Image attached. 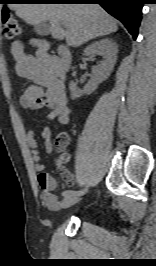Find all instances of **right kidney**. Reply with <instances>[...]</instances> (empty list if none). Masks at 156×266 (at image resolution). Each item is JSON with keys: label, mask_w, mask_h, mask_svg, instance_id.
Segmentation results:
<instances>
[{"label": "right kidney", "mask_w": 156, "mask_h": 266, "mask_svg": "<svg viewBox=\"0 0 156 266\" xmlns=\"http://www.w3.org/2000/svg\"><path fill=\"white\" fill-rule=\"evenodd\" d=\"M117 52L118 45L110 38L95 41L85 48L84 53L88 57L93 59L96 55H100L103 60L92 68L91 79L83 90H80L75 82H70L69 89L72 99L79 98L83 94H92L97 89L98 85L109 77L117 60Z\"/></svg>", "instance_id": "obj_1"}]
</instances>
